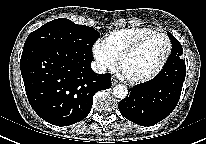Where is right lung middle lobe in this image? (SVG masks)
Listing matches in <instances>:
<instances>
[{"label":"right lung middle lobe","mask_w":206,"mask_h":144,"mask_svg":"<svg viewBox=\"0 0 206 144\" xmlns=\"http://www.w3.org/2000/svg\"><path fill=\"white\" fill-rule=\"evenodd\" d=\"M98 37L99 32L92 27L59 18L30 33L24 48L32 45H55L92 56V47Z\"/></svg>","instance_id":"obj_1"}]
</instances>
